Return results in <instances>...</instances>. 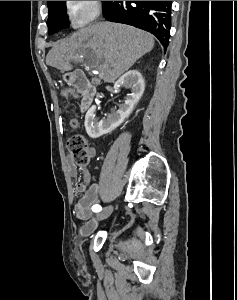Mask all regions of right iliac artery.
<instances>
[{"label":"right iliac artery","instance_id":"1","mask_svg":"<svg viewBox=\"0 0 237 300\" xmlns=\"http://www.w3.org/2000/svg\"><path fill=\"white\" fill-rule=\"evenodd\" d=\"M102 210V207L98 204H95L92 206V211L94 212H100Z\"/></svg>","mask_w":237,"mask_h":300}]
</instances>
